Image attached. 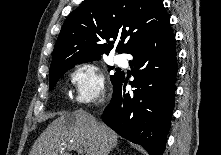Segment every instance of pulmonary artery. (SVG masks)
<instances>
[{"label": "pulmonary artery", "instance_id": "obj_1", "mask_svg": "<svg viewBox=\"0 0 221 155\" xmlns=\"http://www.w3.org/2000/svg\"><path fill=\"white\" fill-rule=\"evenodd\" d=\"M115 62H116V64L119 65V66H125V65H127V60H126V58H125L123 55H117V56L115 57Z\"/></svg>", "mask_w": 221, "mask_h": 155}]
</instances>
